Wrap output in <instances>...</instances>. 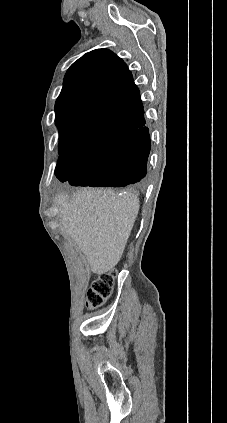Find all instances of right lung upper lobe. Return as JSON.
<instances>
[{"mask_svg": "<svg viewBox=\"0 0 227 423\" xmlns=\"http://www.w3.org/2000/svg\"><path fill=\"white\" fill-rule=\"evenodd\" d=\"M139 97L127 65L108 49L86 53L68 69L56 100L59 145L91 155L137 131L122 120L109 121L101 111Z\"/></svg>", "mask_w": 227, "mask_h": 423, "instance_id": "obj_1", "label": "right lung upper lobe"}]
</instances>
